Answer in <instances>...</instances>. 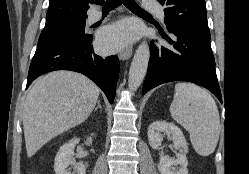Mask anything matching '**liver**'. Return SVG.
<instances>
[{
    "mask_svg": "<svg viewBox=\"0 0 249 174\" xmlns=\"http://www.w3.org/2000/svg\"><path fill=\"white\" fill-rule=\"evenodd\" d=\"M100 89L86 76L54 71L30 88L23 108L27 156L54 137L83 123L93 111Z\"/></svg>",
    "mask_w": 249,
    "mask_h": 174,
    "instance_id": "1",
    "label": "liver"
}]
</instances>
